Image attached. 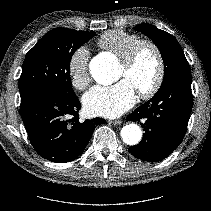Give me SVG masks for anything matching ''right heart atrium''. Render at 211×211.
<instances>
[{"label":"right heart atrium","mask_w":211,"mask_h":211,"mask_svg":"<svg viewBox=\"0 0 211 211\" xmlns=\"http://www.w3.org/2000/svg\"><path fill=\"white\" fill-rule=\"evenodd\" d=\"M90 52L86 46H79L70 55L67 70L71 84L78 90H84L91 81L89 71Z\"/></svg>","instance_id":"1"}]
</instances>
